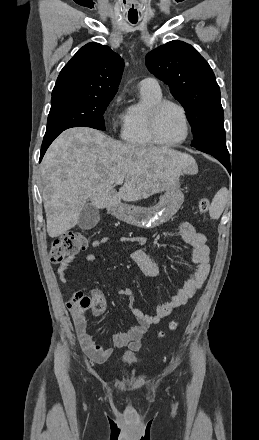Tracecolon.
Masks as SVG:
<instances>
[{
  "label": "colon",
  "instance_id": "obj_1",
  "mask_svg": "<svg viewBox=\"0 0 259 440\" xmlns=\"http://www.w3.org/2000/svg\"><path fill=\"white\" fill-rule=\"evenodd\" d=\"M198 208L200 214L206 216L210 208L209 199L203 197L199 201ZM87 244V239L81 233L75 231L65 232L55 240L50 250V261L52 263H60L66 258L75 256L85 250ZM94 303V297H89L82 291H76L71 295L67 305L73 318L77 321L83 317L84 313L91 307V305H94ZM175 328L176 323H171L170 329L174 330Z\"/></svg>",
  "mask_w": 259,
  "mask_h": 440
}]
</instances>
